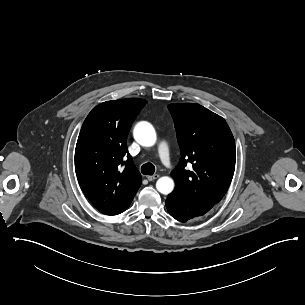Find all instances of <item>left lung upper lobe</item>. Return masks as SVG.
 I'll return each instance as SVG.
<instances>
[{
  "label": "left lung upper lobe",
  "mask_w": 305,
  "mask_h": 305,
  "mask_svg": "<svg viewBox=\"0 0 305 305\" xmlns=\"http://www.w3.org/2000/svg\"><path fill=\"white\" fill-rule=\"evenodd\" d=\"M168 109L181 149L171 172L173 192L194 203L215 205L227 192L235 170L232 132L221 116L199 104H170Z\"/></svg>",
  "instance_id": "obj_1"
}]
</instances>
